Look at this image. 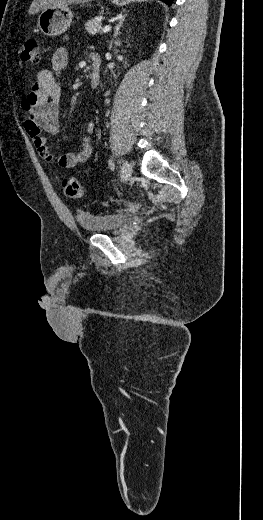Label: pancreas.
<instances>
[{
	"label": "pancreas",
	"mask_w": 263,
	"mask_h": 520,
	"mask_svg": "<svg viewBox=\"0 0 263 520\" xmlns=\"http://www.w3.org/2000/svg\"><path fill=\"white\" fill-rule=\"evenodd\" d=\"M103 19V16H96L91 20H88L85 24V29L87 32L91 35H95L96 33L100 32L102 30L101 20Z\"/></svg>",
	"instance_id": "pancreas-1"
}]
</instances>
